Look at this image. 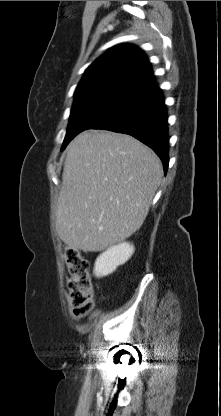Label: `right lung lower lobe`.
Returning a JSON list of instances; mask_svg holds the SVG:
<instances>
[{
  "instance_id": "obj_1",
  "label": "right lung lower lobe",
  "mask_w": 221,
  "mask_h": 416,
  "mask_svg": "<svg viewBox=\"0 0 221 416\" xmlns=\"http://www.w3.org/2000/svg\"><path fill=\"white\" fill-rule=\"evenodd\" d=\"M164 98L160 88L135 92L121 100L93 129L129 134L151 149L168 169V126Z\"/></svg>"
}]
</instances>
